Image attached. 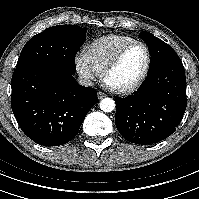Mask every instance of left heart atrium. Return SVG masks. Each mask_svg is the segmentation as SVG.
Instances as JSON below:
<instances>
[{"label": "left heart atrium", "mask_w": 199, "mask_h": 199, "mask_svg": "<svg viewBox=\"0 0 199 199\" xmlns=\"http://www.w3.org/2000/svg\"><path fill=\"white\" fill-rule=\"evenodd\" d=\"M105 84H106L107 86H110L106 81H105Z\"/></svg>", "instance_id": "obj_1"}]
</instances>
